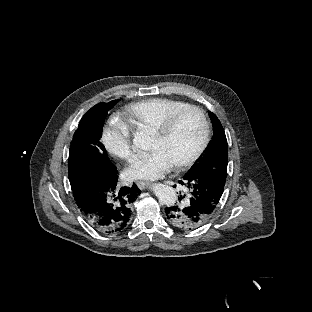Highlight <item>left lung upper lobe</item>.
Instances as JSON below:
<instances>
[{"label":"left lung upper lobe","mask_w":312,"mask_h":312,"mask_svg":"<svg viewBox=\"0 0 312 312\" xmlns=\"http://www.w3.org/2000/svg\"><path fill=\"white\" fill-rule=\"evenodd\" d=\"M209 117L214 128V135L210 144L200 159L199 163L184 176V179H193L199 175L210 171L227 172L228 149L224 129L213 112H209Z\"/></svg>","instance_id":"obj_1"}]
</instances>
